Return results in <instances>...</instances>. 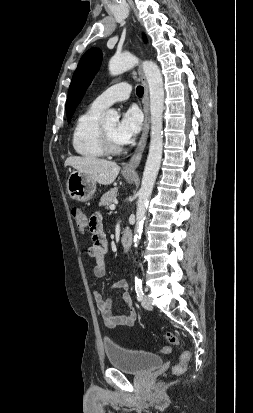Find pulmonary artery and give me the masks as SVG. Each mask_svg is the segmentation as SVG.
I'll return each instance as SVG.
<instances>
[{
	"instance_id": "obj_1",
	"label": "pulmonary artery",
	"mask_w": 253,
	"mask_h": 413,
	"mask_svg": "<svg viewBox=\"0 0 253 413\" xmlns=\"http://www.w3.org/2000/svg\"><path fill=\"white\" fill-rule=\"evenodd\" d=\"M130 93L131 85L127 82H120L109 87L97 96L92 105L104 110L115 102L127 100Z\"/></svg>"
}]
</instances>
